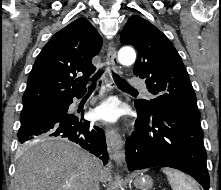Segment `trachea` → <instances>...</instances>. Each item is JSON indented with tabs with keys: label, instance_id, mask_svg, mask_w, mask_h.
<instances>
[{
	"label": "trachea",
	"instance_id": "trachea-1",
	"mask_svg": "<svg viewBox=\"0 0 221 190\" xmlns=\"http://www.w3.org/2000/svg\"><path fill=\"white\" fill-rule=\"evenodd\" d=\"M102 74V71H100L95 78H98ZM112 77L115 81V83L122 89H127V90H133L136 91L133 87H131L128 83H126L121 77H119L116 73L112 72ZM93 88V86L91 87Z\"/></svg>",
	"mask_w": 221,
	"mask_h": 190
}]
</instances>
